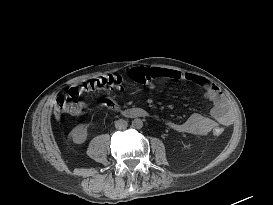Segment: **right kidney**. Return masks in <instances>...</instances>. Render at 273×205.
Returning a JSON list of instances; mask_svg holds the SVG:
<instances>
[{"instance_id":"obj_1","label":"right kidney","mask_w":273,"mask_h":205,"mask_svg":"<svg viewBox=\"0 0 273 205\" xmlns=\"http://www.w3.org/2000/svg\"><path fill=\"white\" fill-rule=\"evenodd\" d=\"M87 139V126L79 125L73 130V141L75 143H83Z\"/></svg>"}]
</instances>
